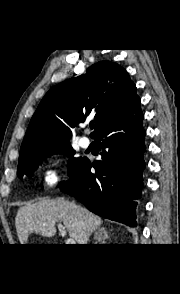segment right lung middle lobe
<instances>
[{
	"label": "right lung middle lobe",
	"mask_w": 180,
	"mask_h": 294,
	"mask_svg": "<svg viewBox=\"0 0 180 294\" xmlns=\"http://www.w3.org/2000/svg\"><path fill=\"white\" fill-rule=\"evenodd\" d=\"M61 153L68 157L69 165L68 168V176L72 178L77 171L80 169L82 163L86 160V158H73L72 156L75 154V151L72 149L70 144L59 145L51 148H46L37 151L34 155L29 157L28 159L18 163L17 175L19 178H22L24 174L31 175L38 168L39 164L43 159L51 156L52 154ZM63 182L60 183L62 185Z\"/></svg>",
	"instance_id": "right-lung-middle-lobe-1"
}]
</instances>
